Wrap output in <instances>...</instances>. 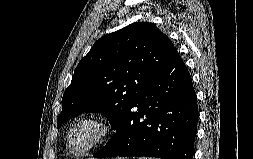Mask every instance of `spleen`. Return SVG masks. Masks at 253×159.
Here are the masks:
<instances>
[{"label":"spleen","mask_w":253,"mask_h":159,"mask_svg":"<svg viewBox=\"0 0 253 159\" xmlns=\"http://www.w3.org/2000/svg\"><path fill=\"white\" fill-rule=\"evenodd\" d=\"M139 159H158V158H146V157H141Z\"/></svg>","instance_id":"1"}]
</instances>
